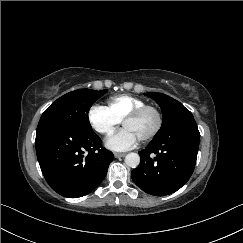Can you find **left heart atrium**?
I'll return each mask as SVG.
<instances>
[{"label": "left heart atrium", "instance_id": "39dd6f15", "mask_svg": "<svg viewBox=\"0 0 243 243\" xmlns=\"http://www.w3.org/2000/svg\"><path fill=\"white\" fill-rule=\"evenodd\" d=\"M138 142L135 134L128 128L123 127L111 133L106 139V146L113 151H127L136 146Z\"/></svg>", "mask_w": 243, "mask_h": 243}]
</instances>
